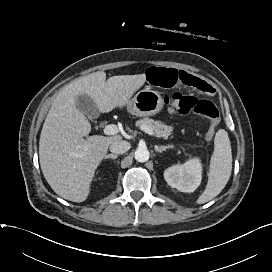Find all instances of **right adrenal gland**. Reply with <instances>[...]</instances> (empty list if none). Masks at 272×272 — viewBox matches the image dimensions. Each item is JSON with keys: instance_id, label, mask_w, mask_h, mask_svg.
Here are the masks:
<instances>
[{"instance_id": "obj_1", "label": "right adrenal gland", "mask_w": 272, "mask_h": 272, "mask_svg": "<svg viewBox=\"0 0 272 272\" xmlns=\"http://www.w3.org/2000/svg\"><path fill=\"white\" fill-rule=\"evenodd\" d=\"M104 158H105V159H116V158H117V155H115V154H108V155H105Z\"/></svg>"}]
</instances>
